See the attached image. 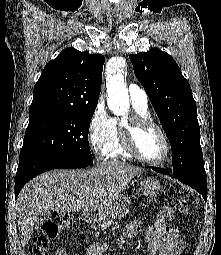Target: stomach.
Returning a JSON list of instances; mask_svg holds the SVG:
<instances>
[{"label": "stomach", "instance_id": "stomach-1", "mask_svg": "<svg viewBox=\"0 0 221 255\" xmlns=\"http://www.w3.org/2000/svg\"><path fill=\"white\" fill-rule=\"evenodd\" d=\"M140 189L143 195L154 197L159 193L161 187L157 179L148 177L140 182ZM128 208V198L124 195H118L113 200L108 202L104 208L98 210L97 215L92 216V218H94L96 221H101L105 218L121 219L128 212Z\"/></svg>", "mask_w": 221, "mask_h": 255}]
</instances>
